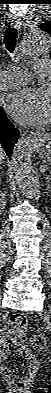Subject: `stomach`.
I'll return each instance as SVG.
<instances>
[{"label": "stomach", "mask_w": 51, "mask_h": 393, "mask_svg": "<svg viewBox=\"0 0 51 393\" xmlns=\"http://www.w3.org/2000/svg\"><path fill=\"white\" fill-rule=\"evenodd\" d=\"M39 157L44 163H51L50 145L46 146L44 149L41 150Z\"/></svg>", "instance_id": "0dacf381"}]
</instances>
